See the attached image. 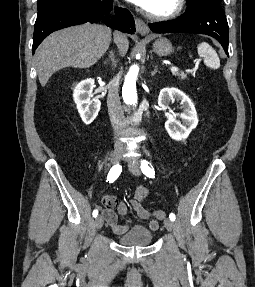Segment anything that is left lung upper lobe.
<instances>
[{
	"mask_svg": "<svg viewBox=\"0 0 255 287\" xmlns=\"http://www.w3.org/2000/svg\"><path fill=\"white\" fill-rule=\"evenodd\" d=\"M195 1H197V0H186L187 4H190V3L195 2ZM211 1H214V2L219 3V4L221 3V0H211Z\"/></svg>",
	"mask_w": 255,
	"mask_h": 287,
	"instance_id": "obj_1",
	"label": "left lung upper lobe"
}]
</instances>
